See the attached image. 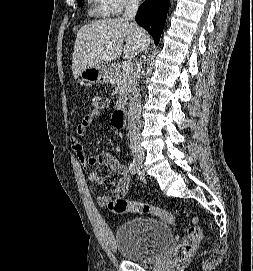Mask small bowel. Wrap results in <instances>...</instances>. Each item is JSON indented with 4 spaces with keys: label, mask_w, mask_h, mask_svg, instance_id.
Listing matches in <instances>:
<instances>
[{
    "label": "small bowel",
    "mask_w": 253,
    "mask_h": 271,
    "mask_svg": "<svg viewBox=\"0 0 253 271\" xmlns=\"http://www.w3.org/2000/svg\"><path fill=\"white\" fill-rule=\"evenodd\" d=\"M99 116V113L92 112L83 116L79 125L77 126V134L83 136L87 133L93 121ZM71 149L75 153L78 161L85 168H91L96 165L106 166L112 170H115L119 174V180L115 189L111 194H103L97 197V202L101 206H105L107 202L113 199L123 198L127 192L131 182L130 170L126 165L121 164L112 154L108 152H100L96 155L88 156L84 150L81 142L78 138L74 137L70 142ZM88 179L96 184L102 185L104 182L103 177L95 172L90 171L88 173Z\"/></svg>",
    "instance_id": "obj_1"
}]
</instances>
